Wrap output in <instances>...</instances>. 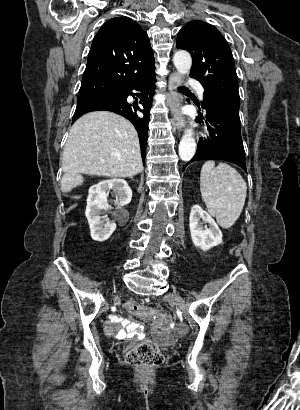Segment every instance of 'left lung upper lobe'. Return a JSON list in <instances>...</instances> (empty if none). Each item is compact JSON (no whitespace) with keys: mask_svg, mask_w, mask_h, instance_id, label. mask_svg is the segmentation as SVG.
I'll return each instance as SVG.
<instances>
[{"mask_svg":"<svg viewBox=\"0 0 300 410\" xmlns=\"http://www.w3.org/2000/svg\"><path fill=\"white\" fill-rule=\"evenodd\" d=\"M176 47L190 52V76L205 89L204 101L214 98L239 107L238 79L231 49L222 34L202 21L187 23L178 33Z\"/></svg>","mask_w":300,"mask_h":410,"instance_id":"obj_1","label":"left lung upper lobe"}]
</instances>
